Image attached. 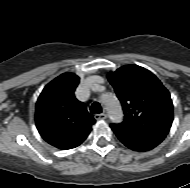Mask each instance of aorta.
Instances as JSON below:
<instances>
[{"mask_svg": "<svg viewBox=\"0 0 190 188\" xmlns=\"http://www.w3.org/2000/svg\"><path fill=\"white\" fill-rule=\"evenodd\" d=\"M101 102L104 105L110 120L119 123L123 119V112L117 97L112 93H104L101 96Z\"/></svg>", "mask_w": 190, "mask_h": 188, "instance_id": "762f6f07", "label": "aorta"}]
</instances>
